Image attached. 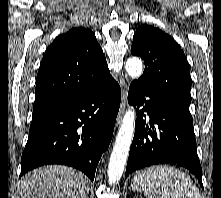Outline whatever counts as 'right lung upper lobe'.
<instances>
[{
  "mask_svg": "<svg viewBox=\"0 0 221 198\" xmlns=\"http://www.w3.org/2000/svg\"><path fill=\"white\" fill-rule=\"evenodd\" d=\"M112 79L94 33L74 27L47 48L37 74L33 119L41 117Z\"/></svg>",
  "mask_w": 221,
  "mask_h": 198,
  "instance_id": "right-lung-upper-lobe-1",
  "label": "right lung upper lobe"
}]
</instances>
